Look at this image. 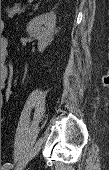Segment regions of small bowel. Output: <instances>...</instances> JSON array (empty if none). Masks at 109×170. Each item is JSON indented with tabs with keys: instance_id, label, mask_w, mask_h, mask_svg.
Instances as JSON below:
<instances>
[{
	"instance_id": "c3829d8e",
	"label": "small bowel",
	"mask_w": 109,
	"mask_h": 170,
	"mask_svg": "<svg viewBox=\"0 0 109 170\" xmlns=\"http://www.w3.org/2000/svg\"><path fill=\"white\" fill-rule=\"evenodd\" d=\"M1 44H2L3 47H5V46H6V41H5L4 39H2V40H1ZM5 77H6V73L4 72V73L2 74V83L4 82Z\"/></svg>"
}]
</instances>
